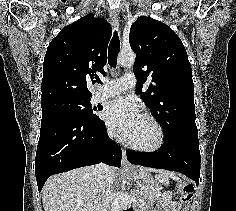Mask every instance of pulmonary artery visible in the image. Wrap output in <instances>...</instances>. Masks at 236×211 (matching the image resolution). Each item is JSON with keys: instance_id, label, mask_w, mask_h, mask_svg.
I'll use <instances>...</instances> for the list:
<instances>
[{"instance_id": "obj_1", "label": "pulmonary artery", "mask_w": 236, "mask_h": 211, "mask_svg": "<svg viewBox=\"0 0 236 211\" xmlns=\"http://www.w3.org/2000/svg\"><path fill=\"white\" fill-rule=\"evenodd\" d=\"M136 86V78L132 74H125L118 79L105 82L104 85L95 93L94 101L115 96L125 90Z\"/></svg>"}]
</instances>
